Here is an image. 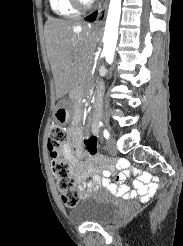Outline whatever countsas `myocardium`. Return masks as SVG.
<instances>
[{"label":"myocardium","mask_w":183,"mask_h":246,"mask_svg":"<svg viewBox=\"0 0 183 246\" xmlns=\"http://www.w3.org/2000/svg\"><path fill=\"white\" fill-rule=\"evenodd\" d=\"M73 5L79 10H87L91 7V1L89 0H71Z\"/></svg>","instance_id":"f54148a6"}]
</instances>
